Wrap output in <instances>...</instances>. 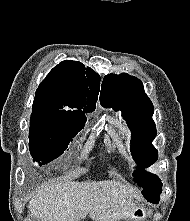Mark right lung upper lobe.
Here are the masks:
<instances>
[{
    "mask_svg": "<svg viewBox=\"0 0 190 221\" xmlns=\"http://www.w3.org/2000/svg\"><path fill=\"white\" fill-rule=\"evenodd\" d=\"M100 77L77 61L56 65L40 83L32 108L34 116H52L71 122L86 120L95 110Z\"/></svg>",
    "mask_w": 190,
    "mask_h": 221,
    "instance_id": "obj_1",
    "label": "right lung upper lobe"
}]
</instances>
